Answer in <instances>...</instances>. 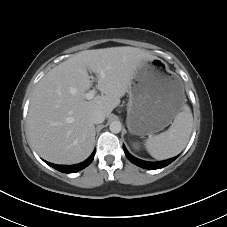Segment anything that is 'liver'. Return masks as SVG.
I'll use <instances>...</instances> for the list:
<instances>
[{
  "mask_svg": "<svg viewBox=\"0 0 227 227\" xmlns=\"http://www.w3.org/2000/svg\"><path fill=\"white\" fill-rule=\"evenodd\" d=\"M155 58L139 48L111 47L78 52L51 69L38 82L28 110V134L36 152L56 164L84 161L94 148L92 113L100 110L109 117L128 92L138 64ZM88 70L97 74L101 92L89 101Z\"/></svg>",
  "mask_w": 227,
  "mask_h": 227,
  "instance_id": "liver-1",
  "label": "liver"
}]
</instances>
